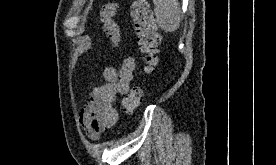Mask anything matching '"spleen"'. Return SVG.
Returning <instances> with one entry per match:
<instances>
[{
  "instance_id": "1",
  "label": "spleen",
  "mask_w": 276,
  "mask_h": 165,
  "mask_svg": "<svg viewBox=\"0 0 276 165\" xmlns=\"http://www.w3.org/2000/svg\"><path fill=\"white\" fill-rule=\"evenodd\" d=\"M153 3L159 27L165 32L176 31L181 20V8L178 0H153Z\"/></svg>"
}]
</instances>
